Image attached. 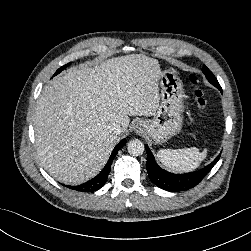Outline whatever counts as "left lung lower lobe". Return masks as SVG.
I'll return each instance as SVG.
<instances>
[{
  "instance_id": "1",
  "label": "left lung lower lobe",
  "mask_w": 251,
  "mask_h": 251,
  "mask_svg": "<svg viewBox=\"0 0 251 251\" xmlns=\"http://www.w3.org/2000/svg\"><path fill=\"white\" fill-rule=\"evenodd\" d=\"M214 86L222 92L219 84ZM145 149L147 152L146 168L150 180L159 188L171 192L188 190L199 184L220 158V155H218L213 162L198 171L184 174H173L158 166L147 145H145Z\"/></svg>"
}]
</instances>
